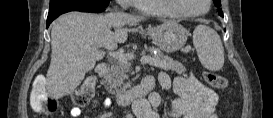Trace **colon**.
<instances>
[{
  "label": "colon",
  "mask_w": 273,
  "mask_h": 118,
  "mask_svg": "<svg viewBox=\"0 0 273 118\" xmlns=\"http://www.w3.org/2000/svg\"><path fill=\"white\" fill-rule=\"evenodd\" d=\"M204 80L212 87L225 89L228 86V80L212 72L203 73ZM97 85L95 76L87 77L82 84L74 91L72 99L77 106H86L94 93ZM31 104L35 111L45 114H53L57 111L58 105L56 99L46 90V82L43 78H37L34 81L31 92Z\"/></svg>",
  "instance_id": "colon-1"
}]
</instances>
